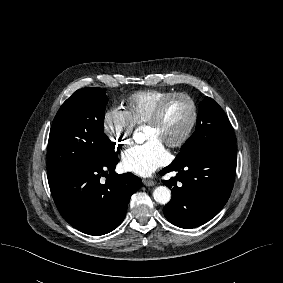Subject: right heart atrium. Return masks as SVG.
I'll return each mask as SVG.
<instances>
[{"instance_id": "obj_1", "label": "right heart atrium", "mask_w": 283, "mask_h": 283, "mask_svg": "<svg viewBox=\"0 0 283 283\" xmlns=\"http://www.w3.org/2000/svg\"><path fill=\"white\" fill-rule=\"evenodd\" d=\"M103 129L117 148H126L132 142L134 124L126 111L111 108L103 116Z\"/></svg>"}]
</instances>
